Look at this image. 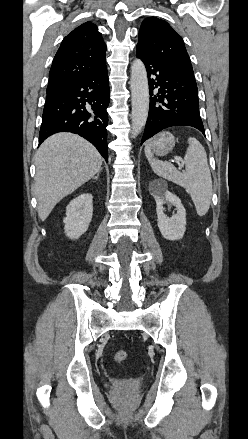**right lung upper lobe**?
Returning a JSON list of instances; mask_svg holds the SVG:
<instances>
[{
  "label": "right lung upper lobe",
  "mask_w": 248,
  "mask_h": 439,
  "mask_svg": "<svg viewBox=\"0 0 248 439\" xmlns=\"http://www.w3.org/2000/svg\"><path fill=\"white\" fill-rule=\"evenodd\" d=\"M106 45L96 25L86 22L62 41L49 73L46 93L60 89L106 65Z\"/></svg>",
  "instance_id": "right-lung-upper-lobe-1"
}]
</instances>
